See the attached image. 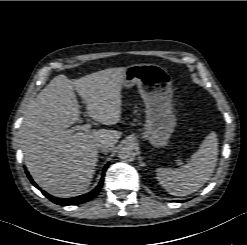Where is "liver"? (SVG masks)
<instances>
[{
    "label": "liver",
    "instance_id": "obj_1",
    "mask_svg": "<svg viewBox=\"0 0 247 245\" xmlns=\"http://www.w3.org/2000/svg\"><path fill=\"white\" fill-rule=\"evenodd\" d=\"M125 68H108L71 80L54 77L29 105L20 128L24 162L34 181L47 193L68 198L91 184L98 147L121 137L116 130L70 132L79 121L74 89L87 104L89 116L104 125L120 121Z\"/></svg>",
    "mask_w": 247,
    "mask_h": 245
}]
</instances>
